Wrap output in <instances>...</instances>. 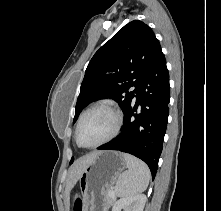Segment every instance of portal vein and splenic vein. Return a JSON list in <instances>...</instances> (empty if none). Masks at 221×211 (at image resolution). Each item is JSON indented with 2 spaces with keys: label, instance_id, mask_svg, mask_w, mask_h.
Listing matches in <instances>:
<instances>
[{
  "label": "portal vein and splenic vein",
  "instance_id": "obj_1",
  "mask_svg": "<svg viewBox=\"0 0 221 211\" xmlns=\"http://www.w3.org/2000/svg\"><path fill=\"white\" fill-rule=\"evenodd\" d=\"M108 195L111 196V197H115V192L113 190H110Z\"/></svg>",
  "mask_w": 221,
  "mask_h": 211
}]
</instances>
